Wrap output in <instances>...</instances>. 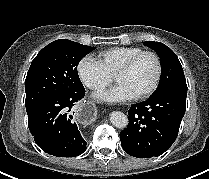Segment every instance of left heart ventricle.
Returning a JSON list of instances; mask_svg holds the SVG:
<instances>
[{"mask_svg":"<svg viewBox=\"0 0 209 179\" xmlns=\"http://www.w3.org/2000/svg\"><path fill=\"white\" fill-rule=\"evenodd\" d=\"M156 75V63L151 56L142 57L128 72L115 81L124 85L134 96L150 87Z\"/></svg>","mask_w":209,"mask_h":179,"instance_id":"left-heart-ventricle-1","label":"left heart ventricle"}]
</instances>
